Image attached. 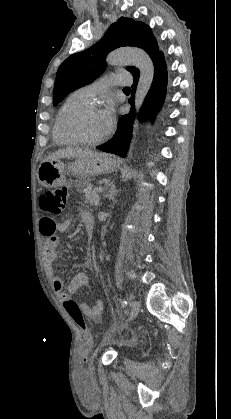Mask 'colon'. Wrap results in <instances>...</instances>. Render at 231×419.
Segmentation results:
<instances>
[{"label": "colon", "mask_w": 231, "mask_h": 419, "mask_svg": "<svg viewBox=\"0 0 231 419\" xmlns=\"http://www.w3.org/2000/svg\"><path fill=\"white\" fill-rule=\"evenodd\" d=\"M68 201V191L66 187H58L50 189L45 192L40 199V206L43 210L54 214H61L66 206ZM64 307L72 319L77 323L81 328L84 340L87 345H90L92 342V335L90 331L86 328L83 315L77 305V303L68 299L64 302Z\"/></svg>", "instance_id": "obj_1"}]
</instances>
